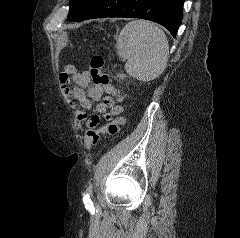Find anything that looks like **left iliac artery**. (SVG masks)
<instances>
[{"label":"left iliac artery","instance_id":"left-iliac-artery-1","mask_svg":"<svg viewBox=\"0 0 240 238\" xmlns=\"http://www.w3.org/2000/svg\"><path fill=\"white\" fill-rule=\"evenodd\" d=\"M92 189H93V185L90 184L83 196V202H84L85 206L90 210L94 209L93 203L90 200V195L92 194Z\"/></svg>","mask_w":240,"mask_h":238}]
</instances>
